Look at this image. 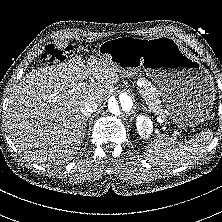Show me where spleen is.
<instances>
[{
    "instance_id": "1",
    "label": "spleen",
    "mask_w": 222,
    "mask_h": 222,
    "mask_svg": "<svg viewBox=\"0 0 222 222\" xmlns=\"http://www.w3.org/2000/svg\"><path fill=\"white\" fill-rule=\"evenodd\" d=\"M212 139L210 131L202 132L198 136L178 142L170 137L159 135L146 149L149 161L163 166H186L201 158Z\"/></svg>"
}]
</instances>
